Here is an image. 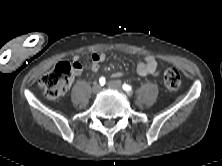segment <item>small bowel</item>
Wrapping results in <instances>:
<instances>
[{
  "mask_svg": "<svg viewBox=\"0 0 222 166\" xmlns=\"http://www.w3.org/2000/svg\"><path fill=\"white\" fill-rule=\"evenodd\" d=\"M107 56L103 52H94L91 55V70L93 72H98L100 70L101 64L106 60ZM73 63H79L78 56L73 58ZM80 64V63H79ZM81 71V68L75 71L78 74ZM136 73L139 76H147V75H158L159 74V66L155 57L148 55L144 57L136 66ZM123 75L122 72H115L113 74L114 77H121Z\"/></svg>",
  "mask_w": 222,
  "mask_h": 166,
  "instance_id": "obj_1",
  "label": "small bowel"
}]
</instances>
